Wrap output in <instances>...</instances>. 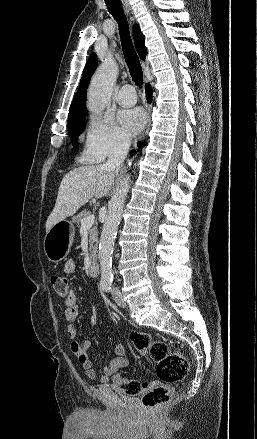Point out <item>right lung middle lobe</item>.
I'll return each mask as SVG.
<instances>
[{
	"mask_svg": "<svg viewBox=\"0 0 257 439\" xmlns=\"http://www.w3.org/2000/svg\"><path fill=\"white\" fill-rule=\"evenodd\" d=\"M86 115H69L68 129L71 141L75 143L78 136L84 131Z\"/></svg>",
	"mask_w": 257,
	"mask_h": 439,
	"instance_id": "1",
	"label": "right lung middle lobe"
}]
</instances>
